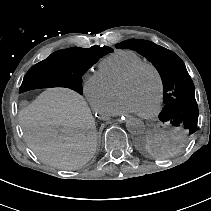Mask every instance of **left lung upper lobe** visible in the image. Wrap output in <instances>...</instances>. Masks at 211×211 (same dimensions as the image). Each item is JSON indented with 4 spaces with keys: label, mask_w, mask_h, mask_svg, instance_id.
Returning <instances> with one entry per match:
<instances>
[{
    "label": "left lung upper lobe",
    "mask_w": 211,
    "mask_h": 211,
    "mask_svg": "<svg viewBox=\"0 0 211 211\" xmlns=\"http://www.w3.org/2000/svg\"><path fill=\"white\" fill-rule=\"evenodd\" d=\"M116 48L137 51L158 70L163 82L164 108L159 119L172 128L181 139L192 135L197 127L198 106L195 88L183 61L172 51L148 40L129 39Z\"/></svg>",
    "instance_id": "obj_1"
}]
</instances>
